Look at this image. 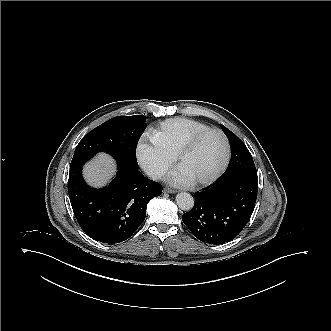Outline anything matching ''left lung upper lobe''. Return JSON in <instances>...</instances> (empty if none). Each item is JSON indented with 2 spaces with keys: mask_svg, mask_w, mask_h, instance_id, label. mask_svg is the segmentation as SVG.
Instances as JSON below:
<instances>
[{
  "mask_svg": "<svg viewBox=\"0 0 331 331\" xmlns=\"http://www.w3.org/2000/svg\"><path fill=\"white\" fill-rule=\"evenodd\" d=\"M221 127L226 134L231 147V160L223 179L237 174L257 177L253 158L246 145L225 126L221 125Z\"/></svg>",
  "mask_w": 331,
  "mask_h": 331,
  "instance_id": "5c2ea615",
  "label": "left lung upper lobe"
}]
</instances>
